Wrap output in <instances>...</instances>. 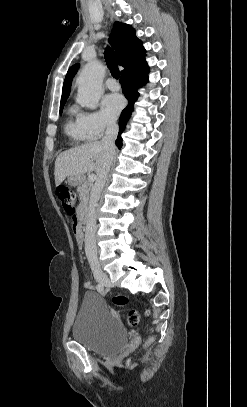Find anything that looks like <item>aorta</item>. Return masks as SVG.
Masks as SVG:
<instances>
[{
    "instance_id": "1",
    "label": "aorta",
    "mask_w": 247,
    "mask_h": 407,
    "mask_svg": "<svg viewBox=\"0 0 247 407\" xmlns=\"http://www.w3.org/2000/svg\"><path fill=\"white\" fill-rule=\"evenodd\" d=\"M105 75V66L99 61L85 65L78 79L77 102L89 109H96L102 94V81Z\"/></svg>"
}]
</instances>
